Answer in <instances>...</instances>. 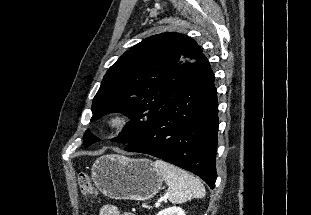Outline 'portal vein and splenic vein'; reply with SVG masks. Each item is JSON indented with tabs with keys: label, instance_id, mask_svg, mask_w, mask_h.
<instances>
[{
	"label": "portal vein and splenic vein",
	"instance_id": "1",
	"mask_svg": "<svg viewBox=\"0 0 311 215\" xmlns=\"http://www.w3.org/2000/svg\"><path fill=\"white\" fill-rule=\"evenodd\" d=\"M167 198H168V193L165 194L162 198H160V199L155 203V206H156V207H159V206H160V202H162V201H167Z\"/></svg>",
	"mask_w": 311,
	"mask_h": 215
}]
</instances>
